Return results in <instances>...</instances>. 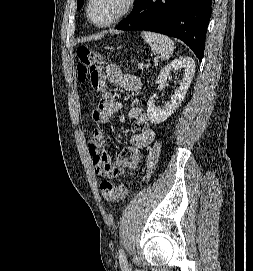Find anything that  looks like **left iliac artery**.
<instances>
[{
  "instance_id": "44dca946",
  "label": "left iliac artery",
  "mask_w": 253,
  "mask_h": 271,
  "mask_svg": "<svg viewBox=\"0 0 253 271\" xmlns=\"http://www.w3.org/2000/svg\"><path fill=\"white\" fill-rule=\"evenodd\" d=\"M119 261L123 271L128 270V263L123 249L119 250Z\"/></svg>"
}]
</instances>
